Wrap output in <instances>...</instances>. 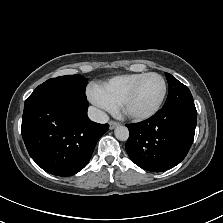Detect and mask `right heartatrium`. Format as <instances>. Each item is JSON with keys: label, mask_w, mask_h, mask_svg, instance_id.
<instances>
[{"label": "right heart atrium", "mask_w": 223, "mask_h": 223, "mask_svg": "<svg viewBox=\"0 0 223 223\" xmlns=\"http://www.w3.org/2000/svg\"><path fill=\"white\" fill-rule=\"evenodd\" d=\"M91 101L102 111H113L115 107L103 96L98 86H93L90 93Z\"/></svg>", "instance_id": "1"}]
</instances>
